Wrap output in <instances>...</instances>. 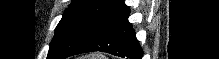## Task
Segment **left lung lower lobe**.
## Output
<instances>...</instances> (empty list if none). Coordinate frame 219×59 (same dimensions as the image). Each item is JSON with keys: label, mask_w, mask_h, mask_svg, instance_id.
<instances>
[{"label": "left lung lower lobe", "mask_w": 219, "mask_h": 59, "mask_svg": "<svg viewBox=\"0 0 219 59\" xmlns=\"http://www.w3.org/2000/svg\"><path fill=\"white\" fill-rule=\"evenodd\" d=\"M129 14L123 0H111L93 32L69 56L101 51L125 59H142L143 51L128 21Z\"/></svg>", "instance_id": "0a47b994"}]
</instances>
